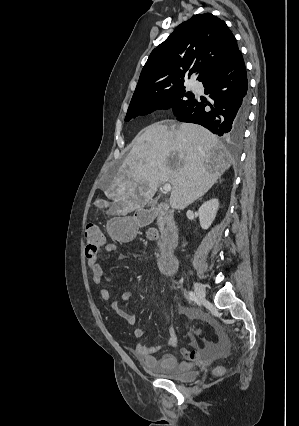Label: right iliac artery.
Listing matches in <instances>:
<instances>
[{
    "label": "right iliac artery",
    "mask_w": 299,
    "mask_h": 426,
    "mask_svg": "<svg viewBox=\"0 0 299 426\" xmlns=\"http://www.w3.org/2000/svg\"><path fill=\"white\" fill-rule=\"evenodd\" d=\"M188 298H189V301H194L196 299V296L192 291H189Z\"/></svg>",
    "instance_id": "right-iliac-artery-1"
}]
</instances>
